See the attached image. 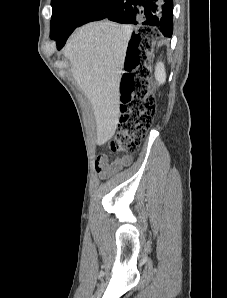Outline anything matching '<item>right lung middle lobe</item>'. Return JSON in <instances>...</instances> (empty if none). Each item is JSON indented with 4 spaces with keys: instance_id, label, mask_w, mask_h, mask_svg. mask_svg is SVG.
Returning <instances> with one entry per match:
<instances>
[{
    "instance_id": "obj_1",
    "label": "right lung middle lobe",
    "mask_w": 227,
    "mask_h": 298,
    "mask_svg": "<svg viewBox=\"0 0 227 298\" xmlns=\"http://www.w3.org/2000/svg\"><path fill=\"white\" fill-rule=\"evenodd\" d=\"M102 0H52L51 38L73 31Z\"/></svg>"
}]
</instances>
